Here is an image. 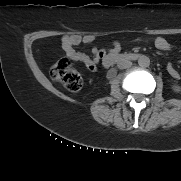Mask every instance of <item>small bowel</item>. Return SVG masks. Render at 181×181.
Masks as SVG:
<instances>
[{"instance_id":"1","label":"small bowel","mask_w":181,"mask_h":181,"mask_svg":"<svg viewBox=\"0 0 181 181\" xmlns=\"http://www.w3.org/2000/svg\"><path fill=\"white\" fill-rule=\"evenodd\" d=\"M93 41L94 36L92 35H63L61 37V46L69 59L81 62L88 70L95 71L97 69L100 59L105 56V53L102 50L94 48L92 50V56H89L77 50V47L80 44H89ZM154 44L159 50H168L170 48L168 40L162 36L156 37L154 40ZM120 48V43L114 42L110 54H117L120 51ZM167 71L172 78L180 79V73L173 64L169 63L167 65Z\"/></svg>"}]
</instances>
